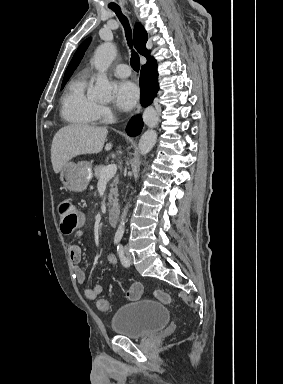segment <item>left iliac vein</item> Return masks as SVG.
I'll list each match as a JSON object with an SVG mask.
<instances>
[{"label": "left iliac vein", "instance_id": "4c4485c4", "mask_svg": "<svg viewBox=\"0 0 283 384\" xmlns=\"http://www.w3.org/2000/svg\"><path fill=\"white\" fill-rule=\"evenodd\" d=\"M125 254H126L128 266H130V264L132 263V256H131L130 252L128 251V249H125Z\"/></svg>", "mask_w": 283, "mask_h": 384}]
</instances>
